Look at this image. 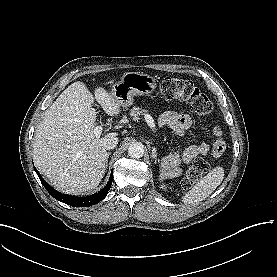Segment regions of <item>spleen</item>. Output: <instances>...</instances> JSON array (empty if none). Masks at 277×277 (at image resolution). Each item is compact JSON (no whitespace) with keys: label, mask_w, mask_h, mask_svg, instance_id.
Masks as SVG:
<instances>
[{"label":"spleen","mask_w":277,"mask_h":277,"mask_svg":"<svg viewBox=\"0 0 277 277\" xmlns=\"http://www.w3.org/2000/svg\"><path fill=\"white\" fill-rule=\"evenodd\" d=\"M223 179L224 169L220 166L215 167L182 197V202L195 204L204 200L215 191Z\"/></svg>","instance_id":"obj_1"}]
</instances>
